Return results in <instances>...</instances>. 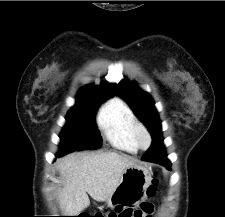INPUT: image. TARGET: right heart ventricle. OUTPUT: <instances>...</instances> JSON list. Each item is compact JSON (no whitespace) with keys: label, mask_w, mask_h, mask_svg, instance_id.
Here are the masks:
<instances>
[{"label":"right heart ventricle","mask_w":225,"mask_h":217,"mask_svg":"<svg viewBox=\"0 0 225 217\" xmlns=\"http://www.w3.org/2000/svg\"><path fill=\"white\" fill-rule=\"evenodd\" d=\"M136 123L133 111L120 98H113L107 102L101 109L98 118L99 127L109 143L115 148L129 153H136L139 149L133 136Z\"/></svg>","instance_id":"obj_1"}]
</instances>
